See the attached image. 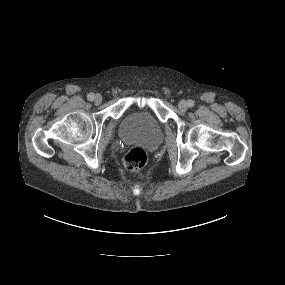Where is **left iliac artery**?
I'll list each match as a JSON object with an SVG mask.
<instances>
[{"mask_svg":"<svg viewBox=\"0 0 285 285\" xmlns=\"http://www.w3.org/2000/svg\"><path fill=\"white\" fill-rule=\"evenodd\" d=\"M187 104H188V106L190 108H192L194 106V101L193 100H188Z\"/></svg>","mask_w":285,"mask_h":285,"instance_id":"left-iliac-artery-1","label":"left iliac artery"}]
</instances>
